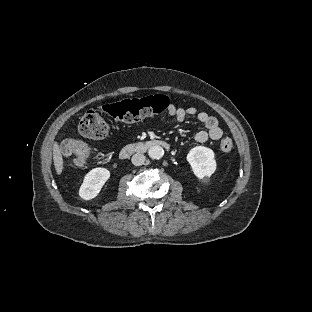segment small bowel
Segmentation results:
<instances>
[{
	"label": "small bowel",
	"instance_id": "1",
	"mask_svg": "<svg viewBox=\"0 0 312 312\" xmlns=\"http://www.w3.org/2000/svg\"><path fill=\"white\" fill-rule=\"evenodd\" d=\"M167 113L173 118L176 124H181L190 117L202 123L206 127V130L198 131L194 136L195 141L199 143L208 140H219L223 135L219 120L207 112L199 111L194 106L181 107L171 103L167 108Z\"/></svg>",
	"mask_w": 312,
	"mask_h": 312
}]
</instances>
